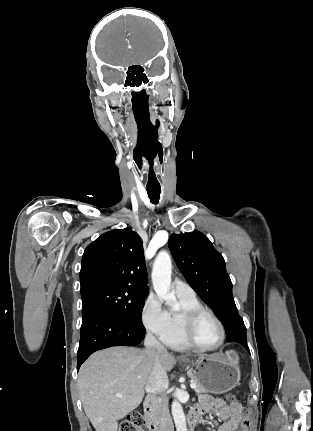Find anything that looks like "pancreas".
<instances>
[{
	"instance_id": "cf45deb5",
	"label": "pancreas",
	"mask_w": 313,
	"mask_h": 431,
	"mask_svg": "<svg viewBox=\"0 0 313 431\" xmlns=\"http://www.w3.org/2000/svg\"><path fill=\"white\" fill-rule=\"evenodd\" d=\"M188 375L191 377V382L196 384V388L194 390L198 395L206 392L205 389L200 385L198 380L193 376L191 371L188 372Z\"/></svg>"
}]
</instances>
